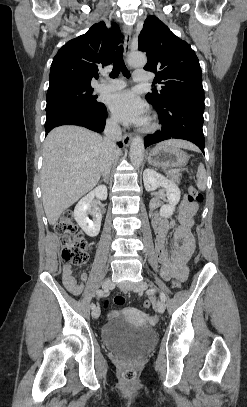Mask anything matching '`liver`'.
<instances>
[{"mask_svg": "<svg viewBox=\"0 0 247 407\" xmlns=\"http://www.w3.org/2000/svg\"><path fill=\"white\" fill-rule=\"evenodd\" d=\"M166 143L194 149L184 140ZM104 152L103 138L83 127L65 125L48 134L43 149L41 190L49 224L54 225L64 210L97 185Z\"/></svg>", "mask_w": 247, "mask_h": 407, "instance_id": "1", "label": "liver"}]
</instances>
